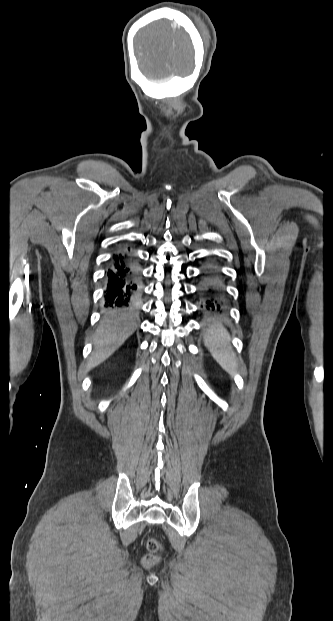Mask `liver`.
I'll return each instance as SVG.
<instances>
[{
    "instance_id": "6515ba94",
    "label": "liver",
    "mask_w": 333,
    "mask_h": 621,
    "mask_svg": "<svg viewBox=\"0 0 333 621\" xmlns=\"http://www.w3.org/2000/svg\"><path fill=\"white\" fill-rule=\"evenodd\" d=\"M133 314L110 312L98 327L95 337V351L87 363L90 370L109 358L134 332L137 324Z\"/></svg>"
}]
</instances>
